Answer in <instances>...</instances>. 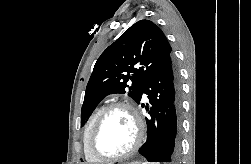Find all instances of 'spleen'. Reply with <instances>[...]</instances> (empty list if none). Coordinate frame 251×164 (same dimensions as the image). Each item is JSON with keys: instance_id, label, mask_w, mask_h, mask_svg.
Listing matches in <instances>:
<instances>
[{"instance_id": "spleen-1", "label": "spleen", "mask_w": 251, "mask_h": 164, "mask_svg": "<svg viewBox=\"0 0 251 164\" xmlns=\"http://www.w3.org/2000/svg\"><path fill=\"white\" fill-rule=\"evenodd\" d=\"M143 164H150V163H148V162H144Z\"/></svg>"}]
</instances>
